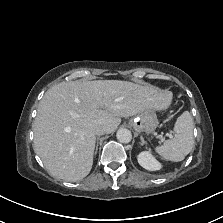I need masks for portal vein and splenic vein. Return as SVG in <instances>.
<instances>
[{
	"mask_svg": "<svg viewBox=\"0 0 223 223\" xmlns=\"http://www.w3.org/2000/svg\"><path fill=\"white\" fill-rule=\"evenodd\" d=\"M166 136H167V137H172V135L169 134V133H167ZM160 137H162V135H157V138H160Z\"/></svg>",
	"mask_w": 223,
	"mask_h": 223,
	"instance_id": "1",
	"label": "portal vein and splenic vein"
}]
</instances>
